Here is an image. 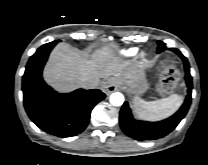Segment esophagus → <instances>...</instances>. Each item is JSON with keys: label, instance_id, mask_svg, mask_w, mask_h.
Wrapping results in <instances>:
<instances>
[{"label": "esophagus", "instance_id": "34e87169", "mask_svg": "<svg viewBox=\"0 0 208 165\" xmlns=\"http://www.w3.org/2000/svg\"><path fill=\"white\" fill-rule=\"evenodd\" d=\"M117 87H118V84L116 80L113 78L107 79L102 85V89L106 94H110L116 91Z\"/></svg>", "mask_w": 208, "mask_h": 165}]
</instances>
